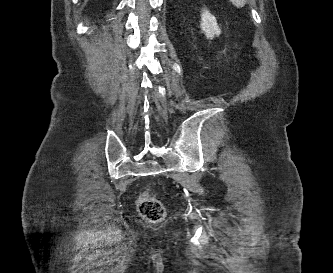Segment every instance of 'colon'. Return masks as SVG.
<instances>
[{
	"mask_svg": "<svg viewBox=\"0 0 333 273\" xmlns=\"http://www.w3.org/2000/svg\"><path fill=\"white\" fill-rule=\"evenodd\" d=\"M137 208L140 215L150 222H160L165 216L163 204L149 194L139 198Z\"/></svg>",
	"mask_w": 333,
	"mask_h": 273,
	"instance_id": "obj_1",
	"label": "colon"
}]
</instances>
